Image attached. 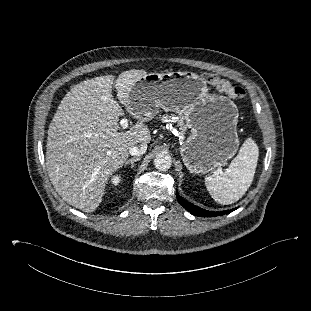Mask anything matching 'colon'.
I'll use <instances>...</instances> for the list:
<instances>
[{"mask_svg": "<svg viewBox=\"0 0 311 311\" xmlns=\"http://www.w3.org/2000/svg\"><path fill=\"white\" fill-rule=\"evenodd\" d=\"M205 79L209 85L226 93L233 100H239L245 97V90L242 87L233 86L228 80L215 74H208Z\"/></svg>", "mask_w": 311, "mask_h": 311, "instance_id": "obj_1", "label": "colon"}]
</instances>
